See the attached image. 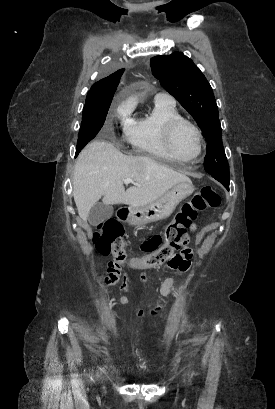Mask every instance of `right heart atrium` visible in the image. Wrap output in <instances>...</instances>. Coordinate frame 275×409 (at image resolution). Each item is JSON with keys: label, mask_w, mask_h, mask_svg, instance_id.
Segmentation results:
<instances>
[{"label": "right heart atrium", "mask_w": 275, "mask_h": 409, "mask_svg": "<svg viewBox=\"0 0 275 409\" xmlns=\"http://www.w3.org/2000/svg\"><path fill=\"white\" fill-rule=\"evenodd\" d=\"M132 109L133 106L129 104L123 105L117 110V118L122 123L126 130L133 123V120L130 118V113Z\"/></svg>", "instance_id": "d8ad5b80"}]
</instances>
